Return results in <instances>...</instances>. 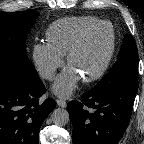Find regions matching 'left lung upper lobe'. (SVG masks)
I'll return each mask as SVG.
<instances>
[{
    "mask_svg": "<svg viewBox=\"0 0 144 144\" xmlns=\"http://www.w3.org/2000/svg\"><path fill=\"white\" fill-rule=\"evenodd\" d=\"M138 52L134 38L126 34L117 62L96 85L97 88L113 89L138 83Z\"/></svg>",
    "mask_w": 144,
    "mask_h": 144,
    "instance_id": "obj_1",
    "label": "left lung upper lobe"
}]
</instances>
